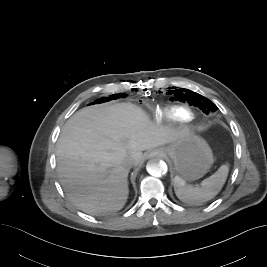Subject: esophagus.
<instances>
[{
	"mask_svg": "<svg viewBox=\"0 0 267 267\" xmlns=\"http://www.w3.org/2000/svg\"><path fill=\"white\" fill-rule=\"evenodd\" d=\"M160 155H161V152L153 151V152L148 154V158L157 157V156H160Z\"/></svg>",
	"mask_w": 267,
	"mask_h": 267,
	"instance_id": "esophagus-1",
	"label": "esophagus"
}]
</instances>
